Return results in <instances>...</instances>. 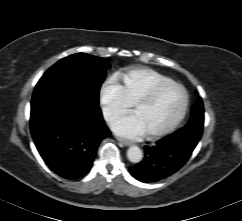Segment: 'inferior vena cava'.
Returning <instances> with one entry per match:
<instances>
[{
	"mask_svg": "<svg viewBox=\"0 0 242 221\" xmlns=\"http://www.w3.org/2000/svg\"><path fill=\"white\" fill-rule=\"evenodd\" d=\"M103 115H104V118L106 120H109L112 117V115H113L112 109H110L108 107H104L103 108Z\"/></svg>",
	"mask_w": 242,
	"mask_h": 221,
	"instance_id": "602c4592",
	"label": "inferior vena cava"
}]
</instances>
